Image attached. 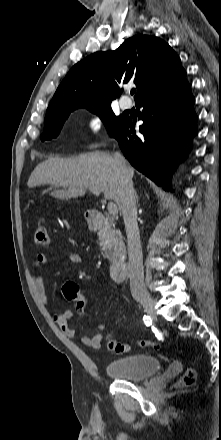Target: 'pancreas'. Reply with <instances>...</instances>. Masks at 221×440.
<instances>
[{"instance_id": "1", "label": "pancreas", "mask_w": 221, "mask_h": 440, "mask_svg": "<svg viewBox=\"0 0 221 440\" xmlns=\"http://www.w3.org/2000/svg\"><path fill=\"white\" fill-rule=\"evenodd\" d=\"M110 226H113L114 229L111 230V233L113 237L115 238V242L112 247V251H114L117 254V259L121 260L125 255V246L122 241V235L121 232L117 229H115V226L113 223H110ZM99 241H100V247H104L106 245V241L108 240V235L99 232L98 233Z\"/></svg>"}]
</instances>
